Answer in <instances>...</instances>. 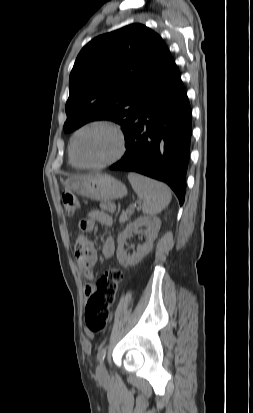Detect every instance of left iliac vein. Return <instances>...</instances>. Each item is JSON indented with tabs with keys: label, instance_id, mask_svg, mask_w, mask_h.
Here are the masks:
<instances>
[{
	"label": "left iliac vein",
	"instance_id": "obj_1",
	"mask_svg": "<svg viewBox=\"0 0 253 413\" xmlns=\"http://www.w3.org/2000/svg\"><path fill=\"white\" fill-rule=\"evenodd\" d=\"M98 379H104L107 376V369L104 362H101L96 369Z\"/></svg>",
	"mask_w": 253,
	"mask_h": 413
}]
</instances>
